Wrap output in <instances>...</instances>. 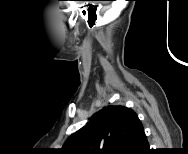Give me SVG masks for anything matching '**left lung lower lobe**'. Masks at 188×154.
I'll return each mask as SVG.
<instances>
[{
  "label": "left lung lower lobe",
  "mask_w": 188,
  "mask_h": 154,
  "mask_svg": "<svg viewBox=\"0 0 188 154\" xmlns=\"http://www.w3.org/2000/svg\"><path fill=\"white\" fill-rule=\"evenodd\" d=\"M149 150L147 137L137 114H133L128 140L124 146L125 154H143Z\"/></svg>",
  "instance_id": "left-lung-lower-lobe-1"
}]
</instances>
